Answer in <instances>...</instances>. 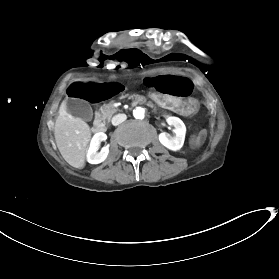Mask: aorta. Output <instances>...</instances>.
Listing matches in <instances>:
<instances>
[{
    "label": "aorta",
    "mask_w": 279,
    "mask_h": 279,
    "mask_svg": "<svg viewBox=\"0 0 279 279\" xmlns=\"http://www.w3.org/2000/svg\"><path fill=\"white\" fill-rule=\"evenodd\" d=\"M133 116L136 119H143L144 116H145V110L141 107H138V108L133 110Z\"/></svg>",
    "instance_id": "obj_1"
}]
</instances>
